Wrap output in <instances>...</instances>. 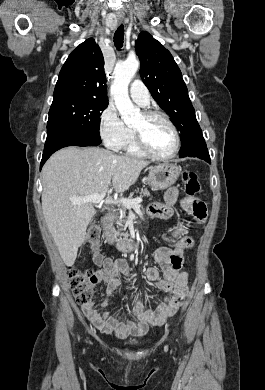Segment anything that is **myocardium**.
Listing matches in <instances>:
<instances>
[{
	"label": "myocardium",
	"instance_id": "1",
	"mask_svg": "<svg viewBox=\"0 0 265 390\" xmlns=\"http://www.w3.org/2000/svg\"><path fill=\"white\" fill-rule=\"evenodd\" d=\"M142 115L145 119H148V120L158 118V119H161L162 121H164L170 127L171 131L173 132L174 146H173V149L171 150V152L168 153L167 155L156 154L148 147V145L144 139L143 134L139 130L133 128L135 140H136V143H137L139 149L143 152L144 155H146L150 158H153L155 160L168 161V160H171L172 158H174L178 154L179 149H180V145H181L180 134H179V131H178L177 127L175 126V124L171 121V119L167 115H165L164 113H162L160 111L146 110L142 113Z\"/></svg>",
	"mask_w": 265,
	"mask_h": 390
}]
</instances>
